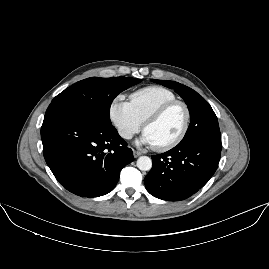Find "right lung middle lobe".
<instances>
[{
  "instance_id": "1",
  "label": "right lung middle lobe",
  "mask_w": 269,
  "mask_h": 269,
  "mask_svg": "<svg viewBox=\"0 0 269 269\" xmlns=\"http://www.w3.org/2000/svg\"><path fill=\"white\" fill-rule=\"evenodd\" d=\"M140 82L141 79L130 77L87 78L65 89L50 105L74 110L112 125L109 117L112 101L120 92Z\"/></svg>"
}]
</instances>
